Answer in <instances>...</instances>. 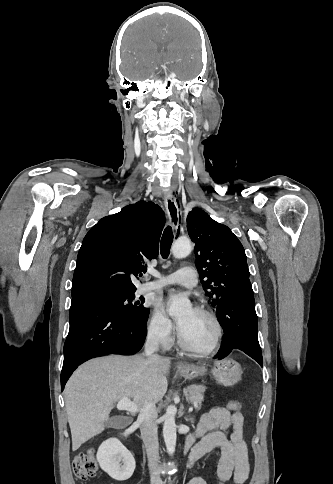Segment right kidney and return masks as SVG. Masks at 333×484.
Instances as JSON below:
<instances>
[{"mask_svg": "<svg viewBox=\"0 0 333 484\" xmlns=\"http://www.w3.org/2000/svg\"><path fill=\"white\" fill-rule=\"evenodd\" d=\"M97 460L101 469L117 481L129 479L135 470L133 455L116 438L107 439L100 445Z\"/></svg>", "mask_w": 333, "mask_h": 484, "instance_id": "obj_1", "label": "right kidney"}]
</instances>
